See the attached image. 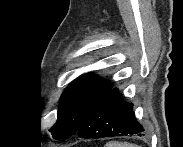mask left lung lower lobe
Wrapping results in <instances>:
<instances>
[{
    "mask_svg": "<svg viewBox=\"0 0 183 147\" xmlns=\"http://www.w3.org/2000/svg\"><path fill=\"white\" fill-rule=\"evenodd\" d=\"M133 104L125 102L118 89H110L89 112L76 132L81 138L98 139L123 135H143Z\"/></svg>",
    "mask_w": 183,
    "mask_h": 147,
    "instance_id": "obj_1",
    "label": "left lung lower lobe"
}]
</instances>
